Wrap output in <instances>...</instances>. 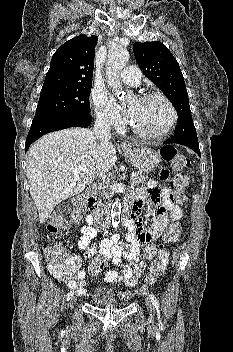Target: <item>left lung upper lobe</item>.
<instances>
[{
  "instance_id": "1",
  "label": "left lung upper lobe",
  "mask_w": 233,
  "mask_h": 352,
  "mask_svg": "<svg viewBox=\"0 0 233 352\" xmlns=\"http://www.w3.org/2000/svg\"><path fill=\"white\" fill-rule=\"evenodd\" d=\"M133 51L144 74L161 89L177 110L178 124L172 139H197L184 77L172 53L160 41L137 42L133 45Z\"/></svg>"
}]
</instances>
